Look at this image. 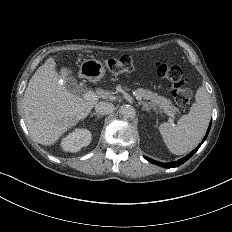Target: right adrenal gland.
I'll return each mask as SVG.
<instances>
[{"label":"right adrenal gland","instance_id":"right-adrenal-gland-1","mask_svg":"<svg viewBox=\"0 0 232 232\" xmlns=\"http://www.w3.org/2000/svg\"><path fill=\"white\" fill-rule=\"evenodd\" d=\"M91 117L96 116V118H101L103 115L99 113L90 114Z\"/></svg>","mask_w":232,"mask_h":232}]
</instances>
